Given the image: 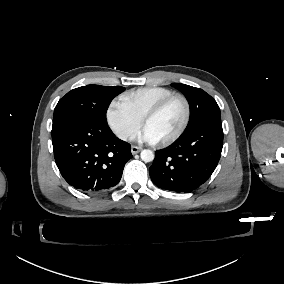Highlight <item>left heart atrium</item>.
<instances>
[{
    "label": "left heart atrium",
    "mask_w": 284,
    "mask_h": 284,
    "mask_svg": "<svg viewBox=\"0 0 284 284\" xmlns=\"http://www.w3.org/2000/svg\"><path fill=\"white\" fill-rule=\"evenodd\" d=\"M134 140L138 142L155 143L157 142L152 133L146 129L142 128L134 135Z\"/></svg>",
    "instance_id": "39dd6f15"
}]
</instances>
